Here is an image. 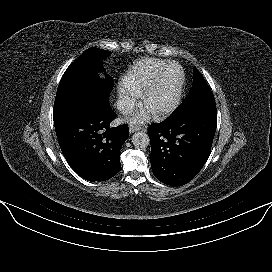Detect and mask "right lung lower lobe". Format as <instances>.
Returning <instances> with one entry per match:
<instances>
[{
	"label": "right lung lower lobe",
	"instance_id": "right-lung-lower-lobe-1",
	"mask_svg": "<svg viewBox=\"0 0 272 272\" xmlns=\"http://www.w3.org/2000/svg\"><path fill=\"white\" fill-rule=\"evenodd\" d=\"M115 117L109 103L90 98L74 104L54 122L64 157L85 180L105 181L121 169L120 149L129 130L126 124L111 128Z\"/></svg>",
	"mask_w": 272,
	"mask_h": 272
}]
</instances>
